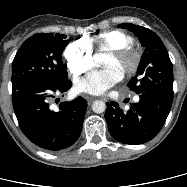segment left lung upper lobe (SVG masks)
Returning <instances> with one entry per match:
<instances>
[{
  "instance_id": "5c2ea615",
  "label": "left lung upper lobe",
  "mask_w": 187,
  "mask_h": 187,
  "mask_svg": "<svg viewBox=\"0 0 187 187\" xmlns=\"http://www.w3.org/2000/svg\"><path fill=\"white\" fill-rule=\"evenodd\" d=\"M133 32L145 47L137 74L128 87L135 93L159 92L173 95V70L168 52L157 34L151 30L130 24L118 25Z\"/></svg>"
}]
</instances>
